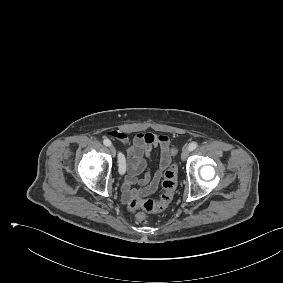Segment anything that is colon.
<instances>
[{
  "mask_svg": "<svg viewBox=\"0 0 283 283\" xmlns=\"http://www.w3.org/2000/svg\"><path fill=\"white\" fill-rule=\"evenodd\" d=\"M176 148L171 149V154L175 155ZM164 192L158 200L132 198L128 203V209L136 214L138 220H143L149 213H157L165 210L171 203L177 187V167L172 165L164 174L162 182Z\"/></svg>",
  "mask_w": 283,
  "mask_h": 283,
  "instance_id": "colon-1",
  "label": "colon"
}]
</instances>
